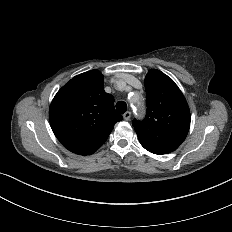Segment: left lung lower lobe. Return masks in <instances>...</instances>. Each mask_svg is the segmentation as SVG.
Instances as JSON below:
<instances>
[{
  "label": "left lung lower lobe",
  "mask_w": 232,
  "mask_h": 232,
  "mask_svg": "<svg viewBox=\"0 0 232 232\" xmlns=\"http://www.w3.org/2000/svg\"><path fill=\"white\" fill-rule=\"evenodd\" d=\"M147 150L150 151L151 153L159 154V155L169 153V152H167V151H165V150L157 149V148H152V149H147Z\"/></svg>",
  "instance_id": "obj_1"
}]
</instances>
